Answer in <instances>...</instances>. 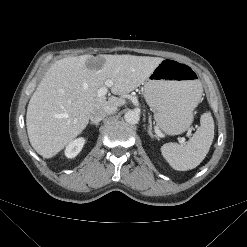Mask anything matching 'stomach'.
Listing matches in <instances>:
<instances>
[{
  "label": "stomach",
  "mask_w": 247,
  "mask_h": 247,
  "mask_svg": "<svg viewBox=\"0 0 247 247\" xmlns=\"http://www.w3.org/2000/svg\"><path fill=\"white\" fill-rule=\"evenodd\" d=\"M202 92L193 67L175 59H163L144 83L146 102L167 135L181 134L190 127Z\"/></svg>",
  "instance_id": "1"
}]
</instances>
